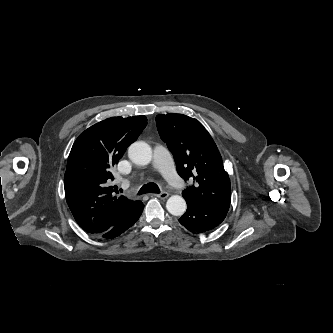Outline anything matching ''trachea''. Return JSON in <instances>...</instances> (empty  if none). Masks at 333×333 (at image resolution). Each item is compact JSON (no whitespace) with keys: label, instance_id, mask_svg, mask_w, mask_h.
<instances>
[{"label":"trachea","instance_id":"1","mask_svg":"<svg viewBox=\"0 0 333 333\" xmlns=\"http://www.w3.org/2000/svg\"><path fill=\"white\" fill-rule=\"evenodd\" d=\"M146 193H160V189L156 183L150 182L148 184L143 185L138 191L139 195Z\"/></svg>","mask_w":333,"mask_h":333}]
</instances>
